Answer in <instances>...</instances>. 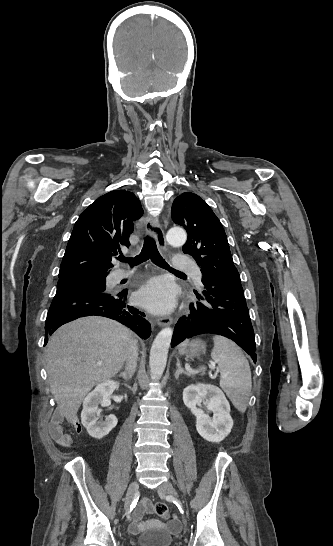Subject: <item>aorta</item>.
Instances as JSON below:
<instances>
[{
	"mask_svg": "<svg viewBox=\"0 0 333 546\" xmlns=\"http://www.w3.org/2000/svg\"><path fill=\"white\" fill-rule=\"evenodd\" d=\"M167 242L173 247L182 246L187 240V234L180 227H173L166 235ZM173 330L170 327L162 329L153 341L150 351V372L153 377H161L167 363L168 350Z\"/></svg>",
	"mask_w": 333,
	"mask_h": 546,
	"instance_id": "762f6f07",
	"label": "aorta"
}]
</instances>
